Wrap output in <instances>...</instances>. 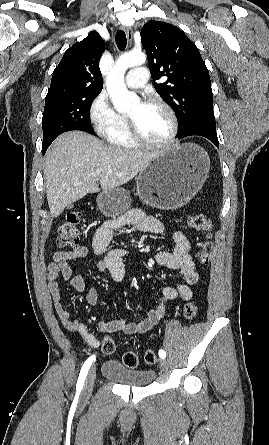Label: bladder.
<instances>
[{"mask_svg": "<svg viewBox=\"0 0 269 445\" xmlns=\"http://www.w3.org/2000/svg\"><path fill=\"white\" fill-rule=\"evenodd\" d=\"M101 373L104 378L118 384L144 388L155 379L156 374L151 369H132L124 366L117 360H107L102 364Z\"/></svg>", "mask_w": 269, "mask_h": 445, "instance_id": "obj_1", "label": "bladder"}]
</instances>
